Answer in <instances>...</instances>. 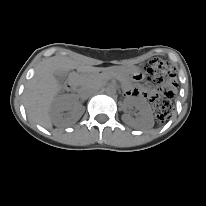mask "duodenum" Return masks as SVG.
<instances>
[{
    "label": "duodenum",
    "instance_id": "410a0bca",
    "mask_svg": "<svg viewBox=\"0 0 206 206\" xmlns=\"http://www.w3.org/2000/svg\"><path fill=\"white\" fill-rule=\"evenodd\" d=\"M66 88L67 90H74L76 88L75 81L74 80L68 81V83L66 84Z\"/></svg>",
    "mask_w": 206,
    "mask_h": 206
}]
</instances>
